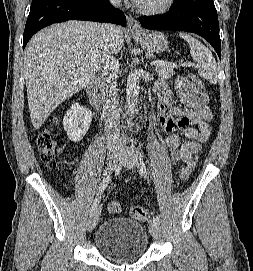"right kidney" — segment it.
<instances>
[{
	"instance_id": "obj_1",
	"label": "right kidney",
	"mask_w": 253,
	"mask_h": 271,
	"mask_svg": "<svg viewBox=\"0 0 253 271\" xmlns=\"http://www.w3.org/2000/svg\"><path fill=\"white\" fill-rule=\"evenodd\" d=\"M92 112L74 103L63 118L64 130L68 138L73 142L80 141L87 133L92 122Z\"/></svg>"
}]
</instances>
